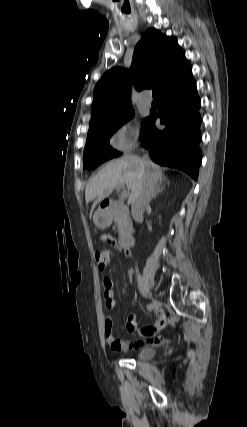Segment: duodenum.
Returning <instances> with one entry per match:
<instances>
[{"mask_svg": "<svg viewBox=\"0 0 247 427\" xmlns=\"http://www.w3.org/2000/svg\"><path fill=\"white\" fill-rule=\"evenodd\" d=\"M116 209H124L123 206L119 205L118 203L114 202V201H107L104 202L102 205V210L105 213H111ZM120 247L124 250H128L130 249L133 244H134V236L132 232H128L126 234H124L121 238H120Z\"/></svg>", "mask_w": 247, "mask_h": 427, "instance_id": "obj_1", "label": "duodenum"}]
</instances>
